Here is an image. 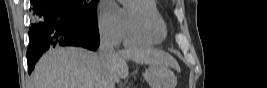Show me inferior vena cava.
Returning <instances> with one entry per match:
<instances>
[{"label":"inferior vena cava","instance_id":"1","mask_svg":"<svg viewBox=\"0 0 267 88\" xmlns=\"http://www.w3.org/2000/svg\"><path fill=\"white\" fill-rule=\"evenodd\" d=\"M116 51L109 33L104 30L100 31L99 60L102 69V84L100 88H115V83L108 75L107 67L110 61L116 57Z\"/></svg>","mask_w":267,"mask_h":88}]
</instances>
